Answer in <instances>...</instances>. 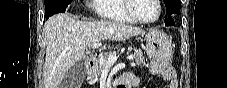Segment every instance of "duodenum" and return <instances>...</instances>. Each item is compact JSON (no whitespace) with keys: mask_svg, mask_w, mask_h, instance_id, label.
Listing matches in <instances>:
<instances>
[{"mask_svg":"<svg viewBox=\"0 0 227 88\" xmlns=\"http://www.w3.org/2000/svg\"><path fill=\"white\" fill-rule=\"evenodd\" d=\"M96 63H97L96 58H89L85 62V66L87 68H92ZM131 85H132V82L130 80L125 81L124 79H120L119 82L117 83V85L115 86V88H122V87H125V86H131Z\"/></svg>","mask_w":227,"mask_h":88,"instance_id":"1","label":"duodenum"}]
</instances>
